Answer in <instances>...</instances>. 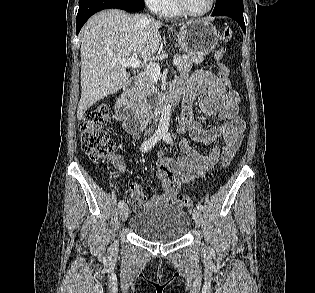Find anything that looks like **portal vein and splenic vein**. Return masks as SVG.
I'll return each mask as SVG.
<instances>
[{
	"mask_svg": "<svg viewBox=\"0 0 315 293\" xmlns=\"http://www.w3.org/2000/svg\"><path fill=\"white\" fill-rule=\"evenodd\" d=\"M118 61L121 63L124 67H132L137 69H144L146 73H151L153 78H158L160 76V66L156 63H149L146 65H143L138 59L136 55H133L132 57L128 59H122L119 58ZM181 62V59L178 57H175L173 60V65H178Z\"/></svg>",
	"mask_w": 315,
	"mask_h": 293,
	"instance_id": "portal-vein-and-splenic-vein-1",
	"label": "portal vein and splenic vein"
}]
</instances>
